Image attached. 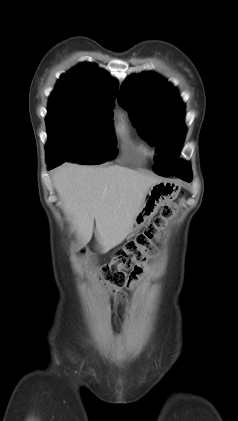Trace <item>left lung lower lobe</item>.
Wrapping results in <instances>:
<instances>
[{
	"label": "left lung lower lobe",
	"instance_id": "obj_1",
	"mask_svg": "<svg viewBox=\"0 0 238 421\" xmlns=\"http://www.w3.org/2000/svg\"><path fill=\"white\" fill-rule=\"evenodd\" d=\"M171 175H178L179 178L183 179L186 182H190L192 180V174H191L190 168L182 173H176V171H171L162 176H171Z\"/></svg>",
	"mask_w": 238,
	"mask_h": 421
}]
</instances>
